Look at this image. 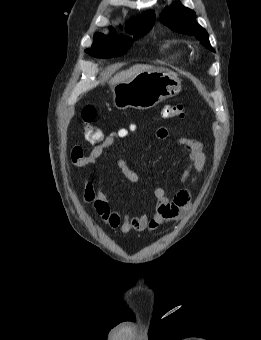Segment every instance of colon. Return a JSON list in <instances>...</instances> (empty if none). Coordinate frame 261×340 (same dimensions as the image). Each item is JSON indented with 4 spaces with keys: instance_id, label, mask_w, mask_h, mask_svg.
<instances>
[{
    "instance_id": "obj_1",
    "label": "colon",
    "mask_w": 261,
    "mask_h": 340,
    "mask_svg": "<svg viewBox=\"0 0 261 340\" xmlns=\"http://www.w3.org/2000/svg\"><path fill=\"white\" fill-rule=\"evenodd\" d=\"M161 115L164 118L184 117L182 104L166 105ZM96 109L93 105H85L81 110V120L84 127L85 138L92 144H99L104 139L103 131L95 124Z\"/></svg>"
}]
</instances>
